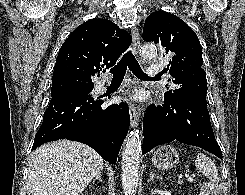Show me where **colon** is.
<instances>
[{"label": "colon", "mask_w": 245, "mask_h": 195, "mask_svg": "<svg viewBox=\"0 0 245 195\" xmlns=\"http://www.w3.org/2000/svg\"><path fill=\"white\" fill-rule=\"evenodd\" d=\"M217 193V186L215 181H209L205 183L203 187V195H216Z\"/></svg>", "instance_id": "5ec220e1"}]
</instances>
